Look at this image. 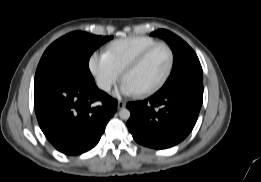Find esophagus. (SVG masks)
Here are the masks:
<instances>
[{
	"instance_id": "1",
	"label": "esophagus",
	"mask_w": 261,
	"mask_h": 182,
	"mask_svg": "<svg viewBox=\"0 0 261 182\" xmlns=\"http://www.w3.org/2000/svg\"><path fill=\"white\" fill-rule=\"evenodd\" d=\"M126 106V103L124 101H119L117 104L118 109H123Z\"/></svg>"
}]
</instances>
